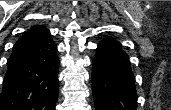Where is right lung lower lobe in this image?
<instances>
[{"label": "right lung lower lobe", "mask_w": 171, "mask_h": 110, "mask_svg": "<svg viewBox=\"0 0 171 110\" xmlns=\"http://www.w3.org/2000/svg\"><path fill=\"white\" fill-rule=\"evenodd\" d=\"M50 33L13 51L0 95V110H55L59 58Z\"/></svg>", "instance_id": "98d812e1"}]
</instances>
